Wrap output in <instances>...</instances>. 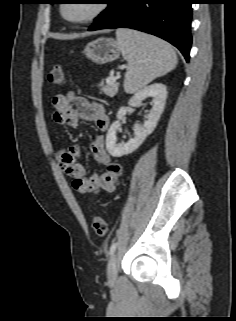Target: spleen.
Returning a JSON list of instances; mask_svg holds the SVG:
<instances>
[{"label": "spleen", "mask_w": 236, "mask_h": 321, "mask_svg": "<svg viewBox=\"0 0 236 321\" xmlns=\"http://www.w3.org/2000/svg\"><path fill=\"white\" fill-rule=\"evenodd\" d=\"M116 38L121 53L128 62L124 80L126 93L140 91L177 65L174 49L157 37L130 29H118Z\"/></svg>", "instance_id": "1"}]
</instances>
